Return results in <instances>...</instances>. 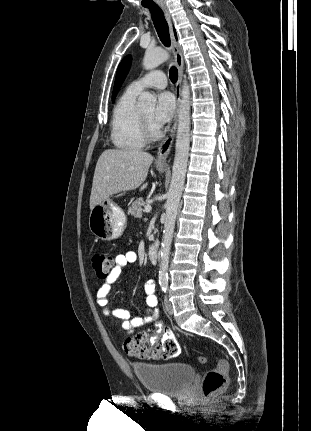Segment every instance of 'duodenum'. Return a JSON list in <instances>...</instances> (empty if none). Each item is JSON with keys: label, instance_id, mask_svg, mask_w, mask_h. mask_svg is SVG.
Returning <instances> with one entry per match:
<instances>
[{"label": "duodenum", "instance_id": "duodenum-1", "mask_svg": "<svg viewBox=\"0 0 311 431\" xmlns=\"http://www.w3.org/2000/svg\"><path fill=\"white\" fill-rule=\"evenodd\" d=\"M159 256V244L154 242L148 249V257L152 263H156L158 261Z\"/></svg>", "mask_w": 311, "mask_h": 431}]
</instances>
